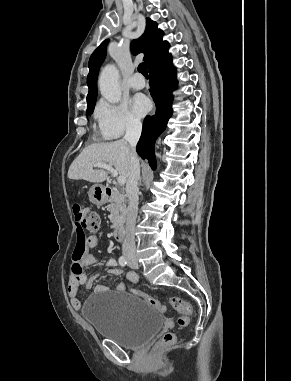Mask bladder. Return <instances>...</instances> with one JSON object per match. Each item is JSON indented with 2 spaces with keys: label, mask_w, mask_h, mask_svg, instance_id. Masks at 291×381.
I'll return each instance as SVG.
<instances>
[{
  "label": "bladder",
  "mask_w": 291,
  "mask_h": 381,
  "mask_svg": "<svg viewBox=\"0 0 291 381\" xmlns=\"http://www.w3.org/2000/svg\"><path fill=\"white\" fill-rule=\"evenodd\" d=\"M82 316L98 336L128 349L144 345L164 326L163 316L148 302L124 291L111 296L93 294L87 299Z\"/></svg>",
  "instance_id": "bladder-1"
}]
</instances>
